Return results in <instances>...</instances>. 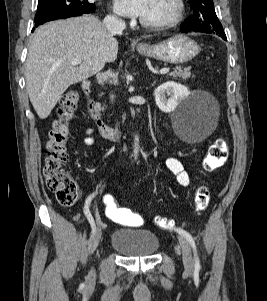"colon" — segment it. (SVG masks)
I'll return each mask as SVG.
<instances>
[{"mask_svg": "<svg viewBox=\"0 0 267 301\" xmlns=\"http://www.w3.org/2000/svg\"><path fill=\"white\" fill-rule=\"evenodd\" d=\"M79 101L76 90L67 91L61 98L57 118L53 122L47 141V157L44 166V176L48 189L56 196L57 201L64 206L73 205L78 197V187L72 176L63 167L68 161L67 142L69 138V120L72 118ZM228 145L222 138L217 139L209 148L203 159L206 171H212L225 164L228 158ZM195 206L198 210H205L210 202L208 188L202 184L195 192ZM102 206L105 216L118 224H138L140 217L130 209L118 204L111 193L103 196ZM155 223L167 230H171L173 222L166 218L156 217Z\"/></svg>", "mask_w": 267, "mask_h": 301, "instance_id": "colon-1", "label": "colon"}]
</instances>
